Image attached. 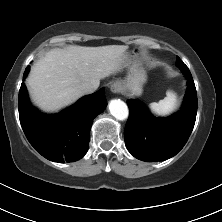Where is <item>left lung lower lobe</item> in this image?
<instances>
[{
  "mask_svg": "<svg viewBox=\"0 0 222 222\" xmlns=\"http://www.w3.org/2000/svg\"><path fill=\"white\" fill-rule=\"evenodd\" d=\"M182 109L167 118H157L140 102L127 100L130 114L124 129L125 145L136 158L156 162L176 155L186 144L195 124L197 93L189 69Z\"/></svg>",
  "mask_w": 222,
  "mask_h": 222,
  "instance_id": "left-lung-lower-lobe-1",
  "label": "left lung lower lobe"
}]
</instances>
